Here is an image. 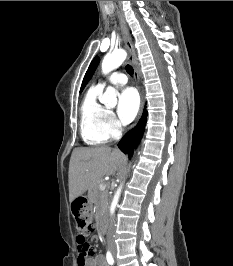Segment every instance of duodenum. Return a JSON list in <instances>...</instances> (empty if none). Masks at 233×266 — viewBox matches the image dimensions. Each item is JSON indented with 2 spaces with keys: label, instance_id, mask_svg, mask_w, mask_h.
Returning a JSON list of instances; mask_svg holds the SVG:
<instances>
[{
  "label": "duodenum",
  "instance_id": "410a0bca",
  "mask_svg": "<svg viewBox=\"0 0 233 266\" xmlns=\"http://www.w3.org/2000/svg\"><path fill=\"white\" fill-rule=\"evenodd\" d=\"M98 228L101 232H105L106 228H105V223H104V219L102 216H100L99 220H98Z\"/></svg>",
  "mask_w": 233,
  "mask_h": 266
}]
</instances>
